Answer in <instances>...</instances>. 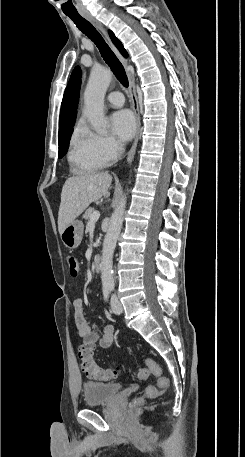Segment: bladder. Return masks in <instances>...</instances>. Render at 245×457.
<instances>
[{
  "instance_id": "1",
  "label": "bladder",
  "mask_w": 245,
  "mask_h": 457,
  "mask_svg": "<svg viewBox=\"0 0 245 457\" xmlns=\"http://www.w3.org/2000/svg\"><path fill=\"white\" fill-rule=\"evenodd\" d=\"M120 389L117 383H84L85 406L109 402Z\"/></svg>"
}]
</instances>
